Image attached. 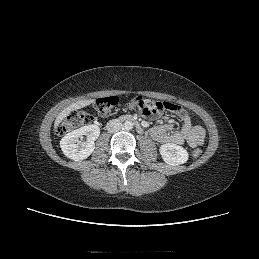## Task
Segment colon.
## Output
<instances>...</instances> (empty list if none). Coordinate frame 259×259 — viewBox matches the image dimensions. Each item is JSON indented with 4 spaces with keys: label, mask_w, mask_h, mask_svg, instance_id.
Wrapping results in <instances>:
<instances>
[{
    "label": "colon",
    "mask_w": 259,
    "mask_h": 259,
    "mask_svg": "<svg viewBox=\"0 0 259 259\" xmlns=\"http://www.w3.org/2000/svg\"><path fill=\"white\" fill-rule=\"evenodd\" d=\"M119 103V99L116 96H110L100 98L95 101L94 108L98 115L106 117L114 113ZM127 106L129 108H138L144 116L159 115L164 111H173L176 109L175 104L166 101H153L143 97H135L132 99ZM94 123V117L86 112L74 111L70 113L63 122L59 125L57 132L60 135L66 134L82 126L91 125ZM202 152L200 149L192 151L194 158H199Z\"/></svg>",
    "instance_id": "5ec220e1"
}]
</instances>
